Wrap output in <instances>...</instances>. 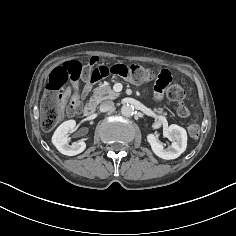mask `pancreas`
<instances>
[{
  "label": "pancreas",
  "mask_w": 236,
  "mask_h": 236,
  "mask_svg": "<svg viewBox=\"0 0 236 236\" xmlns=\"http://www.w3.org/2000/svg\"><path fill=\"white\" fill-rule=\"evenodd\" d=\"M119 96H120V93H116L115 91H113L110 86H100L94 89L91 101L95 105H98L103 100H107V99L112 100V99H116ZM153 110L160 115H167V113L164 112L163 108H154Z\"/></svg>",
  "instance_id": "1"
}]
</instances>
